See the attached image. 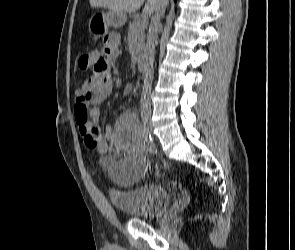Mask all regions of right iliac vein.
<instances>
[{"instance_id":"1","label":"right iliac vein","mask_w":295,"mask_h":250,"mask_svg":"<svg viewBox=\"0 0 295 250\" xmlns=\"http://www.w3.org/2000/svg\"><path fill=\"white\" fill-rule=\"evenodd\" d=\"M143 123H144V126L146 127V129L148 131L152 129L151 123L149 122V119L148 118H143Z\"/></svg>"}]
</instances>
